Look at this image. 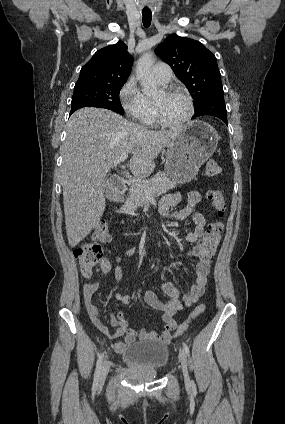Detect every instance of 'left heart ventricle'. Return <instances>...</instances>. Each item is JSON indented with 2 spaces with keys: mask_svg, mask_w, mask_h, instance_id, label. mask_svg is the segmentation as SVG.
<instances>
[{
  "mask_svg": "<svg viewBox=\"0 0 285 424\" xmlns=\"http://www.w3.org/2000/svg\"><path fill=\"white\" fill-rule=\"evenodd\" d=\"M154 102L158 104L162 116L168 122H179L188 114L187 100L181 95H166L162 91Z\"/></svg>",
  "mask_w": 285,
  "mask_h": 424,
  "instance_id": "b2bd125f",
  "label": "left heart ventricle"
}]
</instances>
